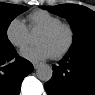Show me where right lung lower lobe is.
Returning <instances> with one entry per match:
<instances>
[{
	"label": "right lung lower lobe",
	"mask_w": 95,
	"mask_h": 95,
	"mask_svg": "<svg viewBox=\"0 0 95 95\" xmlns=\"http://www.w3.org/2000/svg\"><path fill=\"white\" fill-rule=\"evenodd\" d=\"M15 48L0 52V95H18L21 82L33 70V65L17 57ZM13 58V62L9 63Z\"/></svg>",
	"instance_id": "right-lung-lower-lobe-1"
}]
</instances>
